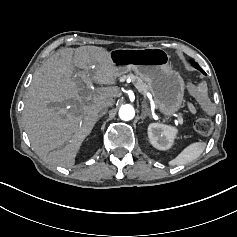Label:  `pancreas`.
<instances>
[{"label": "pancreas", "mask_w": 237, "mask_h": 237, "mask_svg": "<svg viewBox=\"0 0 237 237\" xmlns=\"http://www.w3.org/2000/svg\"><path fill=\"white\" fill-rule=\"evenodd\" d=\"M125 77L130 78L134 86L138 89V91L143 95H146V93L149 90V87L145 82H143V80L140 77L134 74H128Z\"/></svg>", "instance_id": "obj_1"}]
</instances>
